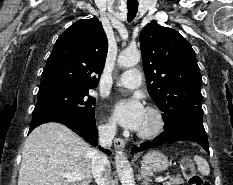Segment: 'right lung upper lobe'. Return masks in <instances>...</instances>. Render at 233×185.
Masks as SVG:
<instances>
[{
	"instance_id": "cb5924a9",
	"label": "right lung upper lobe",
	"mask_w": 233,
	"mask_h": 185,
	"mask_svg": "<svg viewBox=\"0 0 233 185\" xmlns=\"http://www.w3.org/2000/svg\"><path fill=\"white\" fill-rule=\"evenodd\" d=\"M107 49L108 40L97 18L75 22L57 39L43 70L39 90L95 88Z\"/></svg>"
}]
</instances>
